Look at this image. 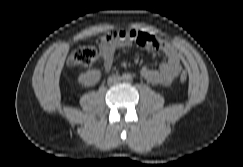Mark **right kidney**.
I'll return each mask as SVG.
<instances>
[{
  "instance_id": "right-kidney-1",
  "label": "right kidney",
  "mask_w": 243,
  "mask_h": 167,
  "mask_svg": "<svg viewBox=\"0 0 243 167\" xmlns=\"http://www.w3.org/2000/svg\"><path fill=\"white\" fill-rule=\"evenodd\" d=\"M101 77V72L97 69L89 70L78 76V82L85 87L94 86Z\"/></svg>"
}]
</instances>
